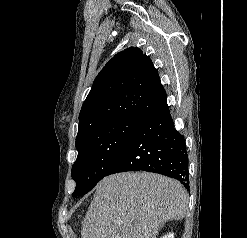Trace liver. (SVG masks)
<instances>
[{"label":"liver","instance_id":"obj_1","mask_svg":"<svg viewBox=\"0 0 247 238\" xmlns=\"http://www.w3.org/2000/svg\"><path fill=\"white\" fill-rule=\"evenodd\" d=\"M188 197L176 180L148 172L103 178L82 222L81 238H156L168 220H182Z\"/></svg>","mask_w":247,"mask_h":238}]
</instances>
